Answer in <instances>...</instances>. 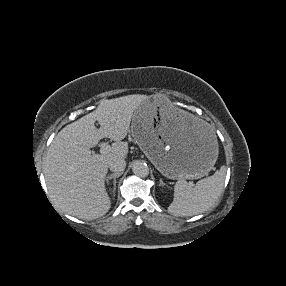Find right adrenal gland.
Listing matches in <instances>:
<instances>
[{"label": "right adrenal gland", "mask_w": 286, "mask_h": 286, "mask_svg": "<svg viewBox=\"0 0 286 286\" xmlns=\"http://www.w3.org/2000/svg\"><path fill=\"white\" fill-rule=\"evenodd\" d=\"M121 175L122 173H113L109 175L108 177H106V182L108 186L110 185V180L113 179V185H114L113 194L115 193V190H116V179L119 178Z\"/></svg>", "instance_id": "right-adrenal-gland-1"}]
</instances>
